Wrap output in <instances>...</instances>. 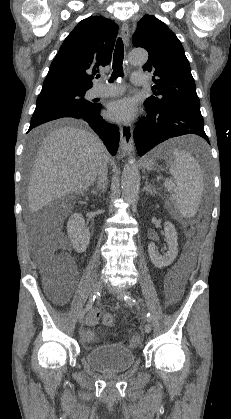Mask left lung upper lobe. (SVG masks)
<instances>
[{"instance_id":"obj_1","label":"left lung upper lobe","mask_w":231,"mask_h":419,"mask_svg":"<svg viewBox=\"0 0 231 419\" xmlns=\"http://www.w3.org/2000/svg\"><path fill=\"white\" fill-rule=\"evenodd\" d=\"M135 47L149 53L144 70L154 74V96L145 104L153 109L174 105H200L189 62L182 44L165 23L152 15H145L138 22L133 35Z\"/></svg>"}]
</instances>
